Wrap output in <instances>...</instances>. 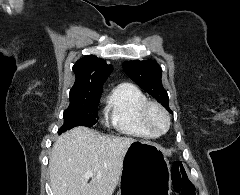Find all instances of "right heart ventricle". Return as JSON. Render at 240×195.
Here are the masks:
<instances>
[{
  "label": "right heart ventricle",
  "instance_id": "1",
  "mask_svg": "<svg viewBox=\"0 0 240 195\" xmlns=\"http://www.w3.org/2000/svg\"><path fill=\"white\" fill-rule=\"evenodd\" d=\"M147 101L143 92L132 84L116 87L107 100L105 109L106 126L118 134L142 139L156 138L141 120V107Z\"/></svg>",
  "mask_w": 240,
  "mask_h": 195
}]
</instances>
